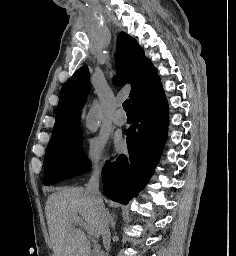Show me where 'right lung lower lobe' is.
<instances>
[{
  "instance_id": "1",
  "label": "right lung lower lobe",
  "mask_w": 236,
  "mask_h": 256,
  "mask_svg": "<svg viewBox=\"0 0 236 256\" xmlns=\"http://www.w3.org/2000/svg\"><path fill=\"white\" fill-rule=\"evenodd\" d=\"M134 122L126 130L128 153L102 170L103 189L113 201L128 204L148 183L167 138L168 105L157 85L132 105Z\"/></svg>"
}]
</instances>
